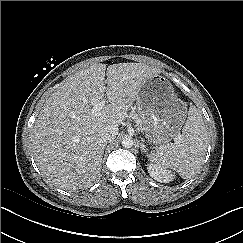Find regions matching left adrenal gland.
Listing matches in <instances>:
<instances>
[{
  "label": "left adrenal gland",
  "mask_w": 243,
  "mask_h": 243,
  "mask_svg": "<svg viewBox=\"0 0 243 243\" xmlns=\"http://www.w3.org/2000/svg\"><path fill=\"white\" fill-rule=\"evenodd\" d=\"M140 149L142 153H147V148L143 143H140Z\"/></svg>",
  "instance_id": "1"
}]
</instances>
